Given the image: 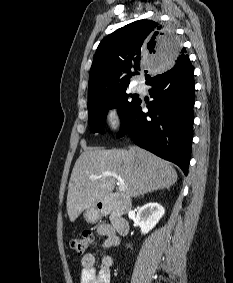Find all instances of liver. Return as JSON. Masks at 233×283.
<instances>
[{
  "label": "liver",
  "mask_w": 233,
  "mask_h": 283,
  "mask_svg": "<svg viewBox=\"0 0 233 283\" xmlns=\"http://www.w3.org/2000/svg\"><path fill=\"white\" fill-rule=\"evenodd\" d=\"M106 171L121 177L128 198L169 189L178 178L171 163L137 146H129L128 150L85 149L73 167L68 185L67 212L71 222L110 196L115 186L113 176L91 179Z\"/></svg>",
  "instance_id": "liver-1"
}]
</instances>
